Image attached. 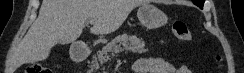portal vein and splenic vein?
Wrapping results in <instances>:
<instances>
[{
  "label": "portal vein and splenic vein",
  "instance_id": "18ae733b",
  "mask_svg": "<svg viewBox=\"0 0 244 73\" xmlns=\"http://www.w3.org/2000/svg\"><path fill=\"white\" fill-rule=\"evenodd\" d=\"M95 22H96V20H94V19L89 20L90 24H94Z\"/></svg>",
  "mask_w": 244,
  "mask_h": 73
}]
</instances>
